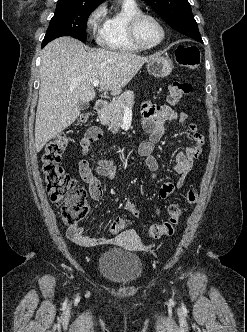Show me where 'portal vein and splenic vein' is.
Wrapping results in <instances>:
<instances>
[{
	"label": "portal vein and splenic vein",
	"mask_w": 247,
	"mask_h": 332,
	"mask_svg": "<svg viewBox=\"0 0 247 332\" xmlns=\"http://www.w3.org/2000/svg\"><path fill=\"white\" fill-rule=\"evenodd\" d=\"M92 85H93V87H97L99 85V80L98 79L94 80ZM130 109L131 108L126 107V110H130Z\"/></svg>",
	"instance_id": "portal-vein-and-splenic-vein-1"
}]
</instances>
